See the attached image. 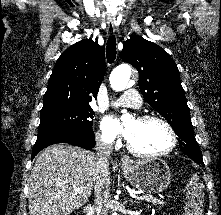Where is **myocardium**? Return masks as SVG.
Instances as JSON below:
<instances>
[{
    "label": "myocardium",
    "instance_id": "obj_1",
    "mask_svg": "<svg viewBox=\"0 0 221 215\" xmlns=\"http://www.w3.org/2000/svg\"><path fill=\"white\" fill-rule=\"evenodd\" d=\"M136 120L139 122H147V121L160 122L166 128V130L169 134L170 144L167 149H165L161 152L143 153V152H140L137 149H135L132 146V144L129 142V140H127L126 146H127V149L130 153H132L133 155L140 157V158L151 159V158H158V157L166 156V155L170 154L175 149L176 144H177V136H176V133H175L173 127L166 119H164L163 117H161L159 115L145 114V115H141V116L137 117Z\"/></svg>",
    "mask_w": 221,
    "mask_h": 215
}]
</instances>
